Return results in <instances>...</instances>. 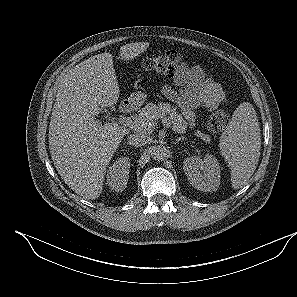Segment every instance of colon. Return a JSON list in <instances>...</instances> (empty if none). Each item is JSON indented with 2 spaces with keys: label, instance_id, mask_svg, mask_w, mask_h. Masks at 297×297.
<instances>
[{
  "label": "colon",
  "instance_id": "obj_1",
  "mask_svg": "<svg viewBox=\"0 0 297 297\" xmlns=\"http://www.w3.org/2000/svg\"><path fill=\"white\" fill-rule=\"evenodd\" d=\"M183 61V54L179 51L172 50L154 54L146 58L142 65L146 70L154 71L171 78L175 76ZM228 122V114L223 110H217L208 117L207 128L210 133L217 135L226 129Z\"/></svg>",
  "mask_w": 297,
  "mask_h": 297
}]
</instances>
